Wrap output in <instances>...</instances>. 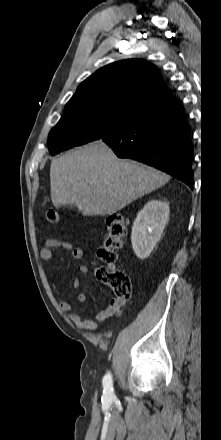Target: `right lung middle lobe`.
<instances>
[{"mask_svg": "<svg viewBox=\"0 0 221 440\" xmlns=\"http://www.w3.org/2000/svg\"><path fill=\"white\" fill-rule=\"evenodd\" d=\"M135 110L107 101L66 104L64 114L48 136L53 156L63 150L98 140Z\"/></svg>", "mask_w": 221, "mask_h": 440, "instance_id": "1", "label": "right lung middle lobe"}]
</instances>
